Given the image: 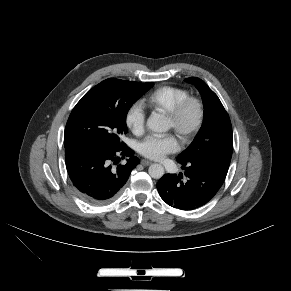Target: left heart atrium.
Segmentation results:
<instances>
[{"label":"left heart atrium","mask_w":291,"mask_h":291,"mask_svg":"<svg viewBox=\"0 0 291 291\" xmlns=\"http://www.w3.org/2000/svg\"><path fill=\"white\" fill-rule=\"evenodd\" d=\"M178 141L172 134L164 136H147L138 147V151L144 157L159 160L166 154L175 152L178 149Z\"/></svg>","instance_id":"left-heart-atrium-1"}]
</instances>
